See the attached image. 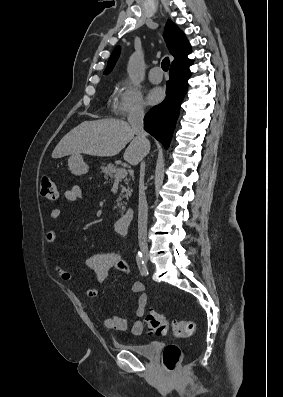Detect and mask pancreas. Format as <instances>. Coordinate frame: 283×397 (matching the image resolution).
Returning <instances> with one entry per match:
<instances>
[{
	"label": "pancreas",
	"instance_id": "1",
	"mask_svg": "<svg viewBox=\"0 0 283 397\" xmlns=\"http://www.w3.org/2000/svg\"><path fill=\"white\" fill-rule=\"evenodd\" d=\"M120 168L114 166L113 164H109L107 166H102L101 167V172L104 173V178L106 180H108V178H110L111 182L113 181V179H116V174L118 172ZM126 184H128L129 180H125ZM131 195V189L122 188L121 194L119 195L117 202H118V206L121 207L123 204L121 203L122 198L124 197H129ZM123 210L125 209L124 207L122 208Z\"/></svg>",
	"mask_w": 283,
	"mask_h": 397
}]
</instances>
